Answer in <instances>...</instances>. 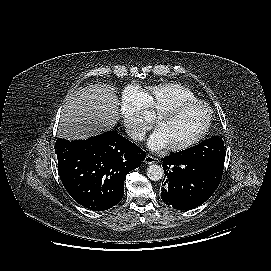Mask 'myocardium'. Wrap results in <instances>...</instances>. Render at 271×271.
Segmentation results:
<instances>
[{"label":"myocardium","instance_id":"f54148a6","mask_svg":"<svg viewBox=\"0 0 271 271\" xmlns=\"http://www.w3.org/2000/svg\"><path fill=\"white\" fill-rule=\"evenodd\" d=\"M194 106H203L208 110L209 117H208L207 123L205 124L203 129L191 140H189L183 144H180V145L169 146L168 148L170 151L180 152V151L187 150V149L195 146L196 144H198L207 135V133L209 132V130L211 128V125L214 120L213 109L211 108V106L209 104H207L203 101L192 100V101H185V102H180V103L174 104V105L169 106V107L159 111L158 113H156L155 119H154V124L157 127L160 120L174 116V115L180 113L181 111L188 109L190 107H194Z\"/></svg>","mask_w":271,"mask_h":271}]
</instances>
